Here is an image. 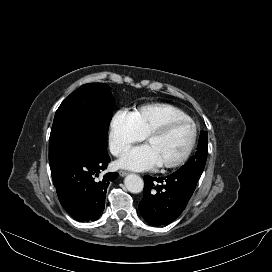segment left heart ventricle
I'll return each instance as SVG.
<instances>
[{"label": "left heart ventricle", "mask_w": 272, "mask_h": 272, "mask_svg": "<svg viewBox=\"0 0 272 272\" xmlns=\"http://www.w3.org/2000/svg\"><path fill=\"white\" fill-rule=\"evenodd\" d=\"M192 133L189 124H180L164 135L149 139L147 144L153 148L160 163H171L185 153L191 142Z\"/></svg>", "instance_id": "1"}]
</instances>
